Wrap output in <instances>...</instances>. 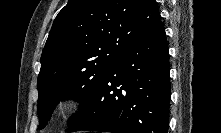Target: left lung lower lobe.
<instances>
[{
  "label": "left lung lower lobe",
  "instance_id": "0a47b994",
  "mask_svg": "<svg viewBox=\"0 0 221 133\" xmlns=\"http://www.w3.org/2000/svg\"><path fill=\"white\" fill-rule=\"evenodd\" d=\"M169 72L166 35L159 20L122 51L66 131L167 133Z\"/></svg>",
  "mask_w": 221,
  "mask_h": 133
}]
</instances>
